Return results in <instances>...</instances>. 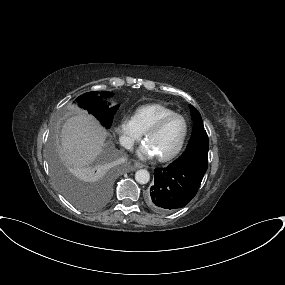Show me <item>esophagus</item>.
Segmentation results:
<instances>
[{"instance_id": "esophagus-1", "label": "esophagus", "mask_w": 285, "mask_h": 285, "mask_svg": "<svg viewBox=\"0 0 285 285\" xmlns=\"http://www.w3.org/2000/svg\"><path fill=\"white\" fill-rule=\"evenodd\" d=\"M142 167H143V164L136 162V163L134 164V166H131V167L128 169V171H135L136 169L142 168Z\"/></svg>"}]
</instances>
